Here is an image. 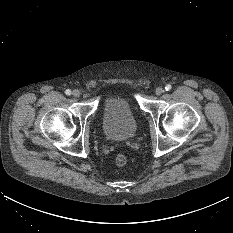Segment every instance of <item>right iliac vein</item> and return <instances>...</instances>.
<instances>
[{"mask_svg":"<svg viewBox=\"0 0 233 233\" xmlns=\"http://www.w3.org/2000/svg\"><path fill=\"white\" fill-rule=\"evenodd\" d=\"M72 95H73L74 97L78 98V97L81 95V93H80L79 90H74L73 93H72Z\"/></svg>","mask_w":233,"mask_h":233,"instance_id":"right-iliac-vein-1","label":"right iliac vein"}]
</instances>
